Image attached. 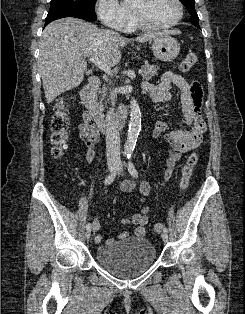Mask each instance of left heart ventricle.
<instances>
[{
	"label": "left heart ventricle",
	"instance_id": "left-heart-ventricle-1",
	"mask_svg": "<svg viewBox=\"0 0 245 314\" xmlns=\"http://www.w3.org/2000/svg\"><path fill=\"white\" fill-rule=\"evenodd\" d=\"M130 7L142 19L153 23H168L178 15L174 0H133Z\"/></svg>",
	"mask_w": 245,
	"mask_h": 314
}]
</instances>
